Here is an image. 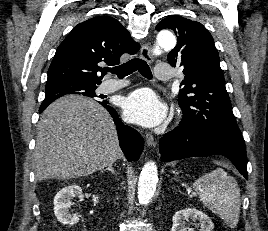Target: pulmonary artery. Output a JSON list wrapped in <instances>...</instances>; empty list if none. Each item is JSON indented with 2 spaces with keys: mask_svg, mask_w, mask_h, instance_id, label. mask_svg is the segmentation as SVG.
Returning a JSON list of instances; mask_svg holds the SVG:
<instances>
[{
  "mask_svg": "<svg viewBox=\"0 0 268 231\" xmlns=\"http://www.w3.org/2000/svg\"><path fill=\"white\" fill-rule=\"evenodd\" d=\"M172 77V68L167 63L158 64L154 70V78L157 81H170ZM128 83L127 80H110L102 85V91L111 93L119 90Z\"/></svg>",
  "mask_w": 268,
  "mask_h": 231,
  "instance_id": "obj_1",
  "label": "pulmonary artery"
}]
</instances>
